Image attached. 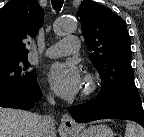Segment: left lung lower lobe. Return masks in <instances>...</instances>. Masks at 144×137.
<instances>
[{
  "label": "left lung lower lobe",
  "instance_id": "1",
  "mask_svg": "<svg viewBox=\"0 0 144 137\" xmlns=\"http://www.w3.org/2000/svg\"><path fill=\"white\" fill-rule=\"evenodd\" d=\"M77 123L99 119L132 120L144 127V110L139 94L107 100L97 95L92 101L69 108Z\"/></svg>",
  "mask_w": 144,
  "mask_h": 137
}]
</instances>
